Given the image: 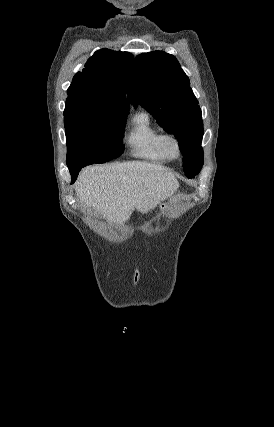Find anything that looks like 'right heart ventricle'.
I'll use <instances>...</instances> for the list:
<instances>
[{
    "instance_id": "obj_1",
    "label": "right heart ventricle",
    "mask_w": 274,
    "mask_h": 427,
    "mask_svg": "<svg viewBox=\"0 0 274 427\" xmlns=\"http://www.w3.org/2000/svg\"><path fill=\"white\" fill-rule=\"evenodd\" d=\"M136 126L126 135L124 142L128 154L154 164L167 161L160 147L161 132L147 114L136 117Z\"/></svg>"
}]
</instances>
